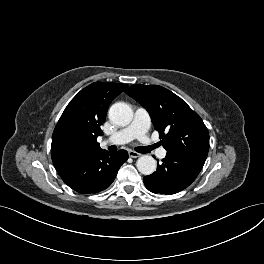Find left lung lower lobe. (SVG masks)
<instances>
[{
    "instance_id": "obj_1",
    "label": "left lung lower lobe",
    "mask_w": 264,
    "mask_h": 264,
    "mask_svg": "<svg viewBox=\"0 0 264 264\" xmlns=\"http://www.w3.org/2000/svg\"><path fill=\"white\" fill-rule=\"evenodd\" d=\"M204 163L180 153L167 152L157 171L143 178L153 193L171 195L188 187L198 176Z\"/></svg>"
}]
</instances>
